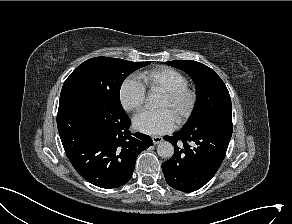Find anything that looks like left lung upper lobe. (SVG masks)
<instances>
[{
    "label": "left lung upper lobe",
    "mask_w": 292,
    "mask_h": 224,
    "mask_svg": "<svg viewBox=\"0 0 292 224\" xmlns=\"http://www.w3.org/2000/svg\"><path fill=\"white\" fill-rule=\"evenodd\" d=\"M165 63L185 71L196 85L197 108L193 118L183 130L204 131L213 127L233 126L229 92L214 70L192 60Z\"/></svg>",
    "instance_id": "5c2ea615"
}]
</instances>
